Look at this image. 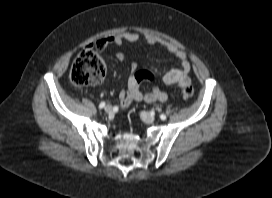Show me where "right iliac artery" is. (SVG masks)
Wrapping results in <instances>:
<instances>
[{
	"mask_svg": "<svg viewBox=\"0 0 272 198\" xmlns=\"http://www.w3.org/2000/svg\"><path fill=\"white\" fill-rule=\"evenodd\" d=\"M104 106H105V102H101V103L99 104V108H100V109H102Z\"/></svg>",
	"mask_w": 272,
	"mask_h": 198,
	"instance_id": "1",
	"label": "right iliac artery"
}]
</instances>
